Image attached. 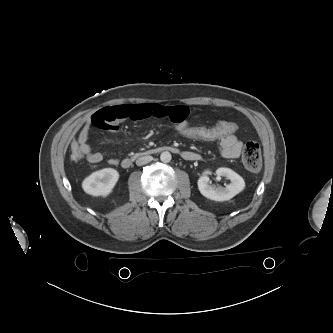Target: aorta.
<instances>
[{"label": "aorta", "mask_w": 333, "mask_h": 333, "mask_svg": "<svg viewBox=\"0 0 333 333\" xmlns=\"http://www.w3.org/2000/svg\"><path fill=\"white\" fill-rule=\"evenodd\" d=\"M172 159L171 153L168 151L162 152L160 155V160L164 163H169Z\"/></svg>", "instance_id": "aorta-1"}]
</instances>
